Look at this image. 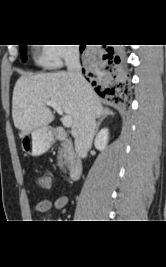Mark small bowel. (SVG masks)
I'll use <instances>...</instances> for the list:
<instances>
[{"label": "small bowel", "mask_w": 166, "mask_h": 267, "mask_svg": "<svg viewBox=\"0 0 166 267\" xmlns=\"http://www.w3.org/2000/svg\"><path fill=\"white\" fill-rule=\"evenodd\" d=\"M68 203V198L65 195L56 197L53 201L42 200L37 203L35 210L40 213L48 212L50 209L54 208L56 210L63 209Z\"/></svg>", "instance_id": "1"}]
</instances>
